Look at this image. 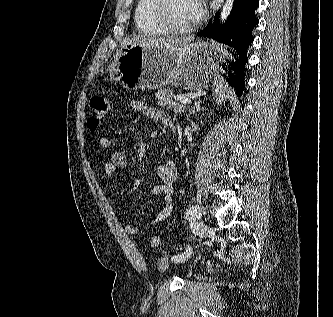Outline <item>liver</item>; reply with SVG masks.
<instances>
[{
	"label": "liver",
	"mask_w": 333,
	"mask_h": 317,
	"mask_svg": "<svg viewBox=\"0 0 333 317\" xmlns=\"http://www.w3.org/2000/svg\"><path fill=\"white\" fill-rule=\"evenodd\" d=\"M194 37H149L146 35H129L121 42L120 48L127 44H136L144 47L153 46L164 48L170 52H178L192 43ZM121 50V49H120ZM119 50V52H120Z\"/></svg>",
	"instance_id": "6515ba94"
}]
</instances>
